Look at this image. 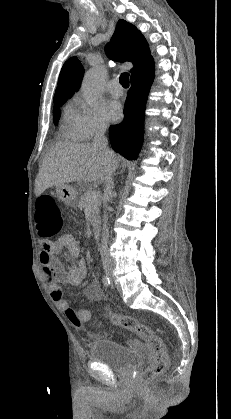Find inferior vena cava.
I'll return each instance as SVG.
<instances>
[{
  "instance_id": "obj_1",
  "label": "inferior vena cava",
  "mask_w": 231,
  "mask_h": 419,
  "mask_svg": "<svg viewBox=\"0 0 231 419\" xmlns=\"http://www.w3.org/2000/svg\"><path fill=\"white\" fill-rule=\"evenodd\" d=\"M106 128L107 126L104 124L98 127L94 135L92 146L93 148L100 150L107 159L114 160V152L108 148V141H107V138L105 137ZM112 174H113V171H111L108 174L105 180L104 194H105L106 201H110L113 194L114 182H113ZM105 207L106 208L104 211V223H103V232H102L101 245H100V254H101V260H102L103 265L109 266L111 264V259H110L109 250H108V226H107L108 217L106 214L108 207L107 205Z\"/></svg>"
}]
</instances>
